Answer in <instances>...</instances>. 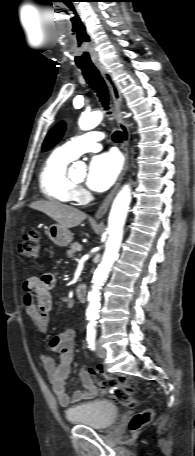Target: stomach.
<instances>
[{
  "label": "stomach",
  "instance_id": "obj_1",
  "mask_svg": "<svg viewBox=\"0 0 195 456\" xmlns=\"http://www.w3.org/2000/svg\"><path fill=\"white\" fill-rule=\"evenodd\" d=\"M49 239L57 246H67L73 240V234L60 224H52L47 228Z\"/></svg>",
  "mask_w": 195,
  "mask_h": 456
}]
</instances>
